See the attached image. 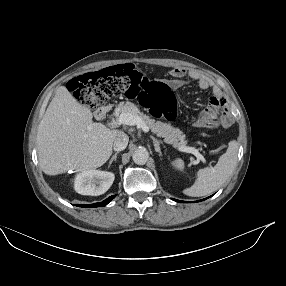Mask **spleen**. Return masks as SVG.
<instances>
[{
    "label": "spleen",
    "mask_w": 286,
    "mask_h": 286,
    "mask_svg": "<svg viewBox=\"0 0 286 286\" xmlns=\"http://www.w3.org/2000/svg\"><path fill=\"white\" fill-rule=\"evenodd\" d=\"M238 143L233 140L228 144L227 151L220 156L214 167L200 169L197 172V179L190 188L185 189L184 194L191 197L205 196L217 190L230 177L237 163ZM172 165L182 171L184 161L176 159Z\"/></svg>",
    "instance_id": "3e777b00"
}]
</instances>
